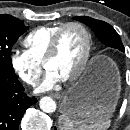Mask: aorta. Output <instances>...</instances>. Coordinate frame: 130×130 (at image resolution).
Segmentation results:
<instances>
[{"label":"aorta","instance_id":"aorta-1","mask_svg":"<svg viewBox=\"0 0 130 130\" xmlns=\"http://www.w3.org/2000/svg\"><path fill=\"white\" fill-rule=\"evenodd\" d=\"M40 109L46 113H52L56 110V103L51 97H42L39 102Z\"/></svg>","mask_w":130,"mask_h":130}]
</instances>
